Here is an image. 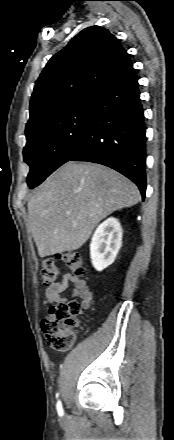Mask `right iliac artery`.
I'll use <instances>...</instances> for the list:
<instances>
[{"instance_id": "right-iliac-artery-1", "label": "right iliac artery", "mask_w": 174, "mask_h": 440, "mask_svg": "<svg viewBox=\"0 0 174 440\" xmlns=\"http://www.w3.org/2000/svg\"><path fill=\"white\" fill-rule=\"evenodd\" d=\"M57 410H58L59 414L63 413L62 404H61L60 400L57 402Z\"/></svg>"}]
</instances>
